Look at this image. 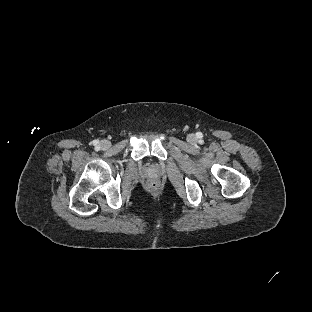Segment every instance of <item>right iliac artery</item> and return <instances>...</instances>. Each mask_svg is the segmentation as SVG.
<instances>
[{
    "label": "right iliac artery",
    "mask_w": 312,
    "mask_h": 312,
    "mask_svg": "<svg viewBox=\"0 0 312 312\" xmlns=\"http://www.w3.org/2000/svg\"><path fill=\"white\" fill-rule=\"evenodd\" d=\"M98 144V141L97 140H94L93 141V145H97Z\"/></svg>",
    "instance_id": "obj_1"
}]
</instances>
